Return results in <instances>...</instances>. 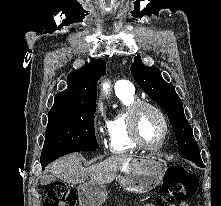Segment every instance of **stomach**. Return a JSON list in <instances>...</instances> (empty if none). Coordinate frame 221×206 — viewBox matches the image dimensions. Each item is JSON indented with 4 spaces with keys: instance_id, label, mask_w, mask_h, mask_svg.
Returning a JSON list of instances; mask_svg holds the SVG:
<instances>
[{
    "instance_id": "obj_1",
    "label": "stomach",
    "mask_w": 221,
    "mask_h": 206,
    "mask_svg": "<svg viewBox=\"0 0 221 206\" xmlns=\"http://www.w3.org/2000/svg\"><path fill=\"white\" fill-rule=\"evenodd\" d=\"M166 169V162L159 157L135 156L121 169L116 180L124 191L143 194L162 182ZM77 190L81 206H100L107 197L106 188L92 182L80 184Z\"/></svg>"
}]
</instances>
